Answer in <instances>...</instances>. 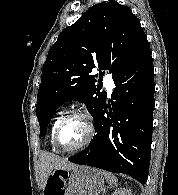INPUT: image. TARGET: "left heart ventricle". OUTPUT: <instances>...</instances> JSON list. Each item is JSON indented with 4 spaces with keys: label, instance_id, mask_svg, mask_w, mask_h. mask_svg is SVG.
Instances as JSON below:
<instances>
[{
    "label": "left heart ventricle",
    "instance_id": "left-heart-ventricle-1",
    "mask_svg": "<svg viewBox=\"0 0 178 195\" xmlns=\"http://www.w3.org/2000/svg\"><path fill=\"white\" fill-rule=\"evenodd\" d=\"M86 125L81 119L68 121L60 131L59 144L64 148L78 146L86 137Z\"/></svg>",
    "mask_w": 178,
    "mask_h": 195
}]
</instances>
